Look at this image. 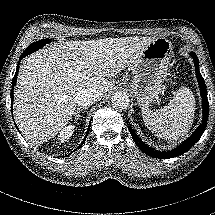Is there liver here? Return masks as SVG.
Wrapping results in <instances>:
<instances>
[{
	"label": "liver",
	"mask_w": 215,
	"mask_h": 215,
	"mask_svg": "<svg viewBox=\"0 0 215 215\" xmlns=\"http://www.w3.org/2000/svg\"><path fill=\"white\" fill-rule=\"evenodd\" d=\"M154 37L128 36L60 42L35 52L20 65L14 117L30 145L51 140L76 112L80 90L102 94L133 64Z\"/></svg>",
	"instance_id": "liver-1"
}]
</instances>
